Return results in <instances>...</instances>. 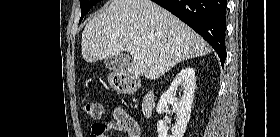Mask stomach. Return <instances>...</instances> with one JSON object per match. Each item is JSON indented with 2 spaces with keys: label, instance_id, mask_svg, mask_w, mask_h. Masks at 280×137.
Segmentation results:
<instances>
[{
  "label": "stomach",
  "instance_id": "stomach-1",
  "mask_svg": "<svg viewBox=\"0 0 280 137\" xmlns=\"http://www.w3.org/2000/svg\"><path fill=\"white\" fill-rule=\"evenodd\" d=\"M112 87L119 91V92H126L127 91V86L123 83H119V82H111Z\"/></svg>",
  "mask_w": 280,
  "mask_h": 137
}]
</instances>
